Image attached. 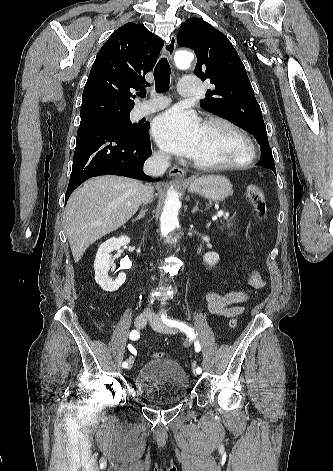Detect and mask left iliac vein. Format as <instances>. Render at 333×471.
<instances>
[{"label": "left iliac vein", "mask_w": 333, "mask_h": 471, "mask_svg": "<svg viewBox=\"0 0 333 471\" xmlns=\"http://www.w3.org/2000/svg\"><path fill=\"white\" fill-rule=\"evenodd\" d=\"M150 325L151 327L160 333H165V334H174L175 330L165 323L156 315L152 316L150 318ZM194 374L197 375L198 373L194 370Z\"/></svg>", "instance_id": "left-iliac-vein-1"}]
</instances>
